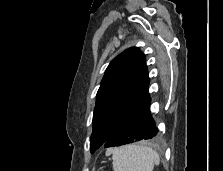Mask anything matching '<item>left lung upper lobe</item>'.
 <instances>
[{
    "label": "left lung upper lobe",
    "instance_id": "obj_1",
    "mask_svg": "<svg viewBox=\"0 0 223 171\" xmlns=\"http://www.w3.org/2000/svg\"><path fill=\"white\" fill-rule=\"evenodd\" d=\"M149 84L144 54L126 49L109 64L97 92L90 149L102 146L112 130Z\"/></svg>",
    "mask_w": 223,
    "mask_h": 171
}]
</instances>
